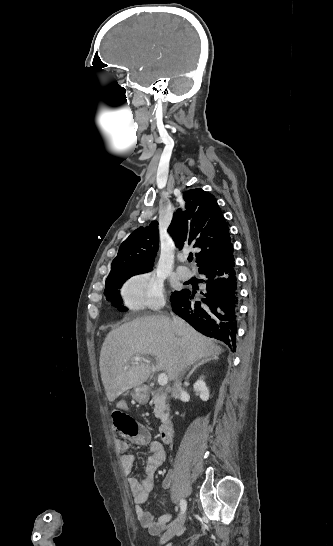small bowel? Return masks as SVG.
<instances>
[{
  "label": "small bowel",
  "mask_w": 333,
  "mask_h": 546,
  "mask_svg": "<svg viewBox=\"0 0 333 546\" xmlns=\"http://www.w3.org/2000/svg\"><path fill=\"white\" fill-rule=\"evenodd\" d=\"M119 409L122 413L127 411V404L124 401L119 403ZM125 414V413H124ZM126 415V414H125ZM128 419L134 424L136 430L134 434L128 438L137 444L148 445L150 455L147 458L145 464V473L141 481L131 477L133 471L134 457L128 454L130 443L128 440H118L116 442L117 450L120 453L121 465L124 469V472L129 476L128 484L131 490L133 502L135 504V513L137 519L141 525L148 529L151 533H158L161 528L170 521L171 514H164L155 519L154 515L151 512L145 511L142 508L148 498L149 493L154 487V476L157 469L164 463L166 454L162 443L153 440L149 430L136 423L131 417L126 415ZM165 487L170 486L169 481L164 482Z\"/></svg>",
  "instance_id": "obj_1"
}]
</instances>
